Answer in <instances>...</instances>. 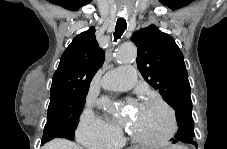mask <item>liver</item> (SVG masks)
I'll use <instances>...</instances> for the list:
<instances>
[{
  "instance_id": "1",
  "label": "liver",
  "mask_w": 227,
  "mask_h": 149,
  "mask_svg": "<svg viewBox=\"0 0 227 149\" xmlns=\"http://www.w3.org/2000/svg\"><path fill=\"white\" fill-rule=\"evenodd\" d=\"M43 149H82L79 145L64 139H55L46 144Z\"/></svg>"
}]
</instances>
